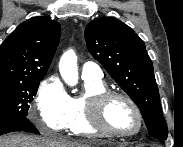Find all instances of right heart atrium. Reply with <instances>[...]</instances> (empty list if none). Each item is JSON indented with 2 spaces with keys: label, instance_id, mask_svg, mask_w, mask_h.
Instances as JSON below:
<instances>
[{
  "label": "right heart atrium",
  "instance_id": "right-heart-atrium-1",
  "mask_svg": "<svg viewBox=\"0 0 183 147\" xmlns=\"http://www.w3.org/2000/svg\"><path fill=\"white\" fill-rule=\"evenodd\" d=\"M69 98L57 76L51 75L42 80L35 97L36 124L55 132L65 129L69 117Z\"/></svg>",
  "mask_w": 183,
  "mask_h": 147
}]
</instances>
